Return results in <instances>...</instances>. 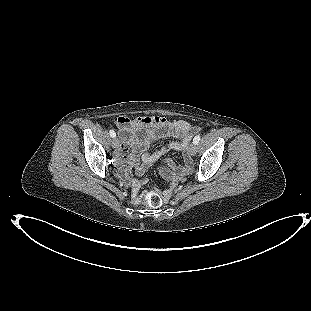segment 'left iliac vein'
<instances>
[{"label":"left iliac vein","instance_id":"obj_1","mask_svg":"<svg viewBox=\"0 0 311 311\" xmlns=\"http://www.w3.org/2000/svg\"><path fill=\"white\" fill-rule=\"evenodd\" d=\"M197 151V147L195 143H191L188 147V152L190 153V155L194 156L196 154Z\"/></svg>","mask_w":311,"mask_h":311}]
</instances>
